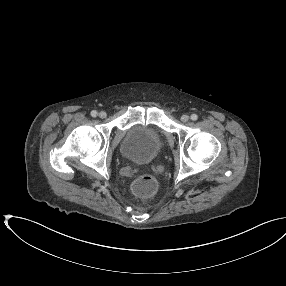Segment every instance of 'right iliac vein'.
<instances>
[{"instance_id":"obj_1","label":"right iliac vein","mask_w":286,"mask_h":286,"mask_svg":"<svg viewBox=\"0 0 286 286\" xmlns=\"http://www.w3.org/2000/svg\"><path fill=\"white\" fill-rule=\"evenodd\" d=\"M99 117H100V118H105V117H106V112L101 111V112L99 113Z\"/></svg>"}]
</instances>
